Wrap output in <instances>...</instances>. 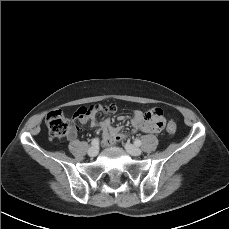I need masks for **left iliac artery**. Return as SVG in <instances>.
<instances>
[{
    "mask_svg": "<svg viewBox=\"0 0 229 229\" xmlns=\"http://www.w3.org/2000/svg\"><path fill=\"white\" fill-rule=\"evenodd\" d=\"M134 144H135L136 146H141L142 142H141V140H139V139H135Z\"/></svg>",
    "mask_w": 229,
    "mask_h": 229,
    "instance_id": "obj_1",
    "label": "left iliac artery"
}]
</instances>
